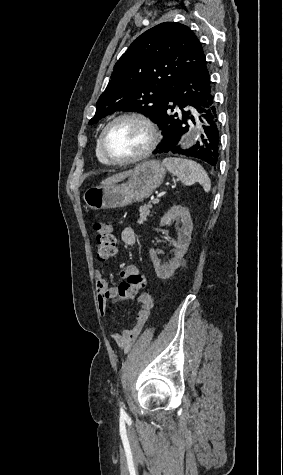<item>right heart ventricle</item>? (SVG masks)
<instances>
[{
  "label": "right heart ventricle",
  "instance_id": "1",
  "mask_svg": "<svg viewBox=\"0 0 283 475\" xmlns=\"http://www.w3.org/2000/svg\"><path fill=\"white\" fill-rule=\"evenodd\" d=\"M99 138V137H98ZM98 138L96 139L95 141V146H94V153H95V157L96 159L99 161V162H106L101 154H100V151H99V146H98Z\"/></svg>",
  "mask_w": 283,
  "mask_h": 475
}]
</instances>
